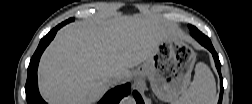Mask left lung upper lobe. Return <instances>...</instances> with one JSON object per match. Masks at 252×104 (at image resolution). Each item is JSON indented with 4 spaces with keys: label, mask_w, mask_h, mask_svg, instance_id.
<instances>
[{
    "label": "left lung upper lobe",
    "mask_w": 252,
    "mask_h": 104,
    "mask_svg": "<svg viewBox=\"0 0 252 104\" xmlns=\"http://www.w3.org/2000/svg\"><path fill=\"white\" fill-rule=\"evenodd\" d=\"M188 27H189L190 31L193 30V29L195 28V27L192 26V25H189Z\"/></svg>",
    "instance_id": "left-lung-upper-lobe-1"
}]
</instances>
